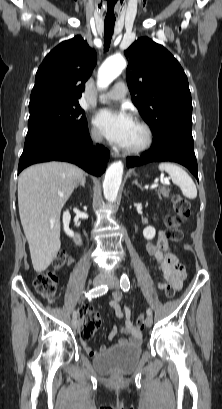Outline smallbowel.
Instances as JSON below:
<instances>
[{"instance_id":"c3829d8e","label":"small bowel","mask_w":222,"mask_h":409,"mask_svg":"<svg viewBox=\"0 0 222 409\" xmlns=\"http://www.w3.org/2000/svg\"><path fill=\"white\" fill-rule=\"evenodd\" d=\"M147 253L154 258L161 272L163 279L158 283V288L164 290L168 285L175 288L176 291L182 287L185 278V260L181 256H174L169 252L168 241L164 233L158 235L156 243L149 242L147 244ZM74 263V259L69 260V264ZM123 294L120 291H114L109 297V306L114 310L116 316L123 320L122 326H113L109 339L121 333L125 337H121L116 341V345L138 344L141 341V332L134 326L131 321V310L129 307H121ZM83 346L90 356H95L96 351L88 346L86 340L83 339ZM108 347L103 345L100 347V352L105 353Z\"/></svg>"}]
</instances>
